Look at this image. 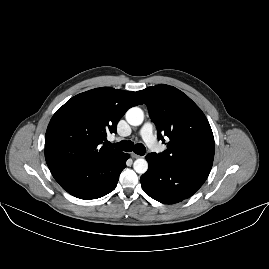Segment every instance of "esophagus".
Returning <instances> with one entry per match:
<instances>
[{"mask_svg": "<svg viewBox=\"0 0 269 269\" xmlns=\"http://www.w3.org/2000/svg\"><path fill=\"white\" fill-rule=\"evenodd\" d=\"M131 157L137 159L140 158L141 156L135 153H131Z\"/></svg>", "mask_w": 269, "mask_h": 269, "instance_id": "esophagus-1", "label": "esophagus"}]
</instances>
